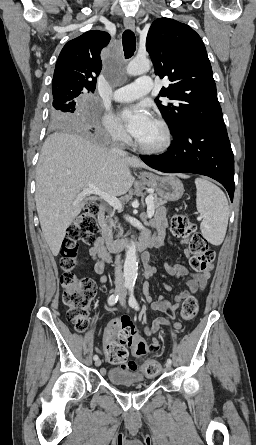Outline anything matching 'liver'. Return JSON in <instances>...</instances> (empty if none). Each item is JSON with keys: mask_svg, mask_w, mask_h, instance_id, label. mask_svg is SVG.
<instances>
[{"mask_svg": "<svg viewBox=\"0 0 256 445\" xmlns=\"http://www.w3.org/2000/svg\"><path fill=\"white\" fill-rule=\"evenodd\" d=\"M131 168H148L141 160L107 148L88 137L55 132L45 140L36 167V208L45 240L57 256L67 228L88 200L89 184L113 196L133 185Z\"/></svg>", "mask_w": 256, "mask_h": 445, "instance_id": "liver-1", "label": "liver"}]
</instances>
